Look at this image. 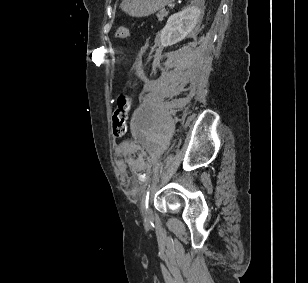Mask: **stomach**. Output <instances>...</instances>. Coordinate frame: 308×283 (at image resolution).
I'll use <instances>...</instances> for the list:
<instances>
[{
	"label": "stomach",
	"mask_w": 308,
	"mask_h": 283,
	"mask_svg": "<svg viewBox=\"0 0 308 283\" xmlns=\"http://www.w3.org/2000/svg\"><path fill=\"white\" fill-rule=\"evenodd\" d=\"M173 0H123L121 8L132 17H146L162 9Z\"/></svg>",
	"instance_id": "0dacf381"
}]
</instances>
